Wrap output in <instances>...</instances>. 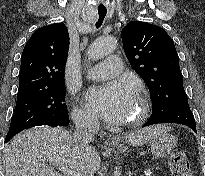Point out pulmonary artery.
Returning a JSON list of instances; mask_svg holds the SVG:
<instances>
[{
  "instance_id": "1",
  "label": "pulmonary artery",
  "mask_w": 205,
  "mask_h": 176,
  "mask_svg": "<svg viewBox=\"0 0 205 176\" xmlns=\"http://www.w3.org/2000/svg\"><path fill=\"white\" fill-rule=\"evenodd\" d=\"M122 72V62L118 56H111L105 62L99 63L85 72L89 79H106L119 75Z\"/></svg>"
}]
</instances>
